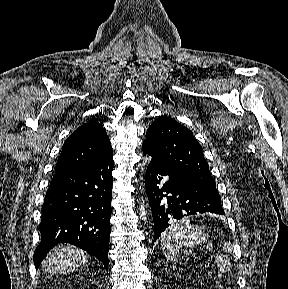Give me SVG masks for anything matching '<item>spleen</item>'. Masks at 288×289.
I'll return each instance as SVG.
<instances>
[{"instance_id":"obj_1","label":"spleen","mask_w":288,"mask_h":289,"mask_svg":"<svg viewBox=\"0 0 288 289\" xmlns=\"http://www.w3.org/2000/svg\"><path fill=\"white\" fill-rule=\"evenodd\" d=\"M207 235L201 226L191 224L190 220L184 218L173 222L161 235V246L168 260L176 261L179 258V250L182 247H193L207 242ZM207 250H212V244H207ZM213 256H211L212 258ZM215 264L220 272L230 268V262L225 255L216 254Z\"/></svg>"}]
</instances>
